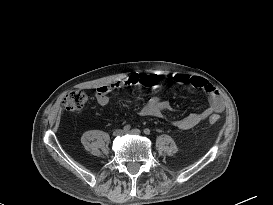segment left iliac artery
I'll return each mask as SVG.
<instances>
[{
    "mask_svg": "<svg viewBox=\"0 0 273 205\" xmlns=\"http://www.w3.org/2000/svg\"><path fill=\"white\" fill-rule=\"evenodd\" d=\"M146 135H149L151 132L148 128H145L144 131H143Z\"/></svg>",
    "mask_w": 273,
    "mask_h": 205,
    "instance_id": "1",
    "label": "left iliac artery"
}]
</instances>
